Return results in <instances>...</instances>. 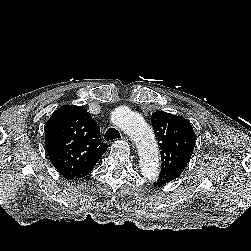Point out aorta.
<instances>
[{
  "label": "aorta",
  "mask_w": 251,
  "mask_h": 251,
  "mask_svg": "<svg viewBox=\"0 0 251 251\" xmlns=\"http://www.w3.org/2000/svg\"><path fill=\"white\" fill-rule=\"evenodd\" d=\"M111 120L136 142L143 176L149 180L156 179L160 164L158 146L152 128L142 116L126 107L117 108Z\"/></svg>",
  "instance_id": "aorta-1"
}]
</instances>
